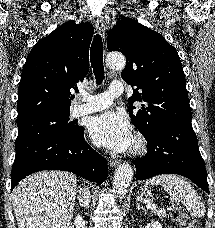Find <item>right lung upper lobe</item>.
I'll return each instance as SVG.
<instances>
[{"label": "right lung upper lobe", "instance_id": "obj_1", "mask_svg": "<svg viewBox=\"0 0 215 228\" xmlns=\"http://www.w3.org/2000/svg\"><path fill=\"white\" fill-rule=\"evenodd\" d=\"M94 28L68 21L39 40L27 56L18 88L17 122L70 112V89L89 70ZM78 89V88H77Z\"/></svg>", "mask_w": 215, "mask_h": 228}]
</instances>
